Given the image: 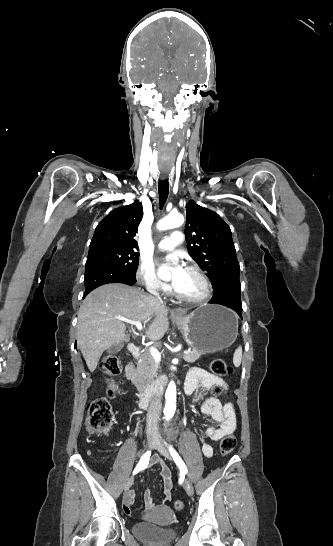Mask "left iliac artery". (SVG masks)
Masks as SVG:
<instances>
[{
    "mask_svg": "<svg viewBox=\"0 0 333 546\" xmlns=\"http://www.w3.org/2000/svg\"><path fill=\"white\" fill-rule=\"evenodd\" d=\"M169 451H170V454L173 457L175 463L179 467L181 473L186 474L187 473V467H186L185 463L183 462L182 458L179 456L178 452L172 446H169Z\"/></svg>",
    "mask_w": 333,
    "mask_h": 546,
    "instance_id": "obj_1",
    "label": "left iliac artery"
}]
</instances>
